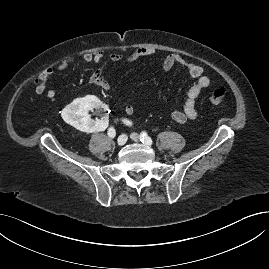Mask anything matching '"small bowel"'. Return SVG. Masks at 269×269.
<instances>
[{"label":"small bowel","instance_id":"obj_1","mask_svg":"<svg viewBox=\"0 0 269 269\" xmlns=\"http://www.w3.org/2000/svg\"><path fill=\"white\" fill-rule=\"evenodd\" d=\"M155 53V49L151 47L138 48L128 55L121 53L106 54L103 50L95 52H87L82 59L86 63L101 64L91 76V82L103 91H109L110 83L104 76L105 66L108 63H131L142 57L151 56ZM74 60L71 58L64 59L55 65V68H45L34 80V90L39 95H45L47 99L55 97V90L47 89V82L54 74L55 70L64 71L73 64ZM161 65L163 69L170 70L175 65L185 67L188 75L196 79L195 83L187 92V97L182 110L174 111L172 119L177 124H184L187 121L194 120L198 116L197 103L201 97L202 92L210 85V78L204 74V68L194 63L178 53H169L162 57ZM135 109L133 105L126 104L124 112L126 115H133Z\"/></svg>","mask_w":269,"mask_h":269}]
</instances>
